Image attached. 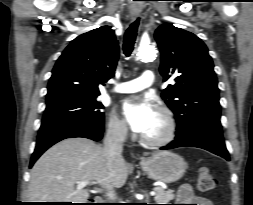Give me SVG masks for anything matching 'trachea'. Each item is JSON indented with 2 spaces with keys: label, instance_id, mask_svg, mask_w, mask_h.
<instances>
[{
  "label": "trachea",
  "instance_id": "1",
  "mask_svg": "<svg viewBox=\"0 0 253 205\" xmlns=\"http://www.w3.org/2000/svg\"><path fill=\"white\" fill-rule=\"evenodd\" d=\"M138 25H139V20L137 19L126 30V33L124 36L123 51L127 57L131 55L134 49Z\"/></svg>",
  "mask_w": 253,
  "mask_h": 205
}]
</instances>
